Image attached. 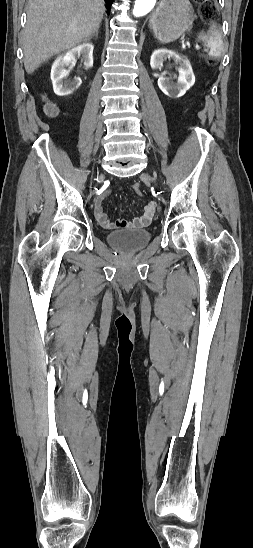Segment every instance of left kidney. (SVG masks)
Masks as SVG:
<instances>
[{"label":"left kidney","mask_w":253,"mask_h":548,"mask_svg":"<svg viewBox=\"0 0 253 548\" xmlns=\"http://www.w3.org/2000/svg\"><path fill=\"white\" fill-rule=\"evenodd\" d=\"M166 59H172L179 65L177 83L170 82L166 77L160 76L158 79V86L165 95L172 98H179L194 85L195 76L191 64L186 57L179 56L177 53L167 49H159L153 52L150 59L151 68L154 70L161 68L163 66V61Z\"/></svg>","instance_id":"obj_1"}]
</instances>
